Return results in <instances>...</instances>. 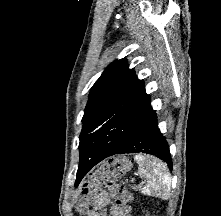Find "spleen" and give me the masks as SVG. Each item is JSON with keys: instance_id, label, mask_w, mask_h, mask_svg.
Instances as JSON below:
<instances>
[{"instance_id": "1", "label": "spleen", "mask_w": 221, "mask_h": 216, "mask_svg": "<svg viewBox=\"0 0 221 216\" xmlns=\"http://www.w3.org/2000/svg\"><path fill=\"white\" fill-rule=\"evenodd\" d=\"M134 159L139 165L138 173L140 177L147 180V184L141 189V192L164 200L169 199L171 176L167 165L151 156L135 155Z\"/></svg>"}]
</instances>
